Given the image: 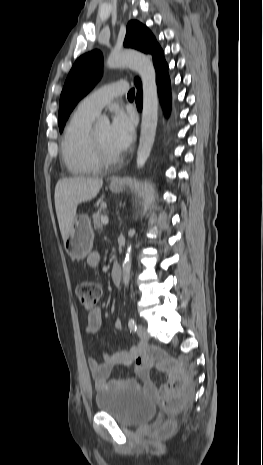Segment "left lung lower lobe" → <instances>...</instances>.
<instances>
[{"mask_svg": "<svg viewBox=\"0 0 263 465\" xmlns=\"http://www.w3.org/2000/svg\"><path fill=\"white\" fill-rule=\"evenodd\" d=\"M152 57L156 69L159 97L165 112L168 114L171 105L170 79L168 75V65L164 59V53L161 47L153 51ZM135 85L137 87L136 104L139 110L142 108V86L138 78L135 79Z\"/></svg>", "mask_w": 263, "mask_h": 465, "instance_id": "left-lung-lower-lobe-1", "label": "left lung lower lobe"}]
</instances>
